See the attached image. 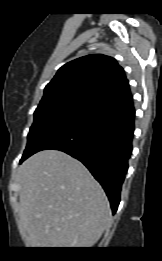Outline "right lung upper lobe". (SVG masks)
Wrapping results in <instances>:
<instances>
[{
    "label": "right lung upper lobe",
    "instance_id": "obj_1",
    "mask_svg": "<svg viewBox=\"0 0 162 261\" xmlns=\"http://www.w3.org/2000/svg\"><path fill=\"white\" fill-rule=\"evenodd\" d=\"M81 92L104 104L130 94L124 70L115 59L87 55L62 66L45 87L44 96Z\"/></svg>",
    "mask_w": 162,
    "mask_h": 261
}]
</instances>
